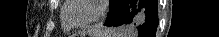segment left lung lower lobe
Returning a JSON list of instances; mask_svg holds the SVG:
<instances>
[{
	"mask_svg": "<svg viewBox=\"0 0 219 37\" xmlns=\"http://www.w3.org/2000/svg\"><path fill=\"white\" fill-rule=\"evenodd\" d=\"M104 25H127L136 37H155L158 26L157 0H118Z\"/></svg>",
	"mask_w": 219,
	"mask_h": 37,
	"instance_id": "1",
	"label": "left lung lower lobe"
}]
</instances>
